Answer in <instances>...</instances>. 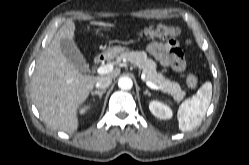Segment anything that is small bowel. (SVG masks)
Returning <instances> with one entry per match:
<instances>
[{"label":"small bowel","mask_w":249,"mask_h":165,"mask_svg":"<svg viewBox=\"0 0 249 165\" xmlns=\"http://www.w3.org/2000/svg\"><path fill=\"white\" fill-rule=\"evenodd\" d=\"M148 50L161 66L170 67L177 72L184 70L185 60L176 40L154 42L149 45Z\"/></svg>","instance_id":"obj_1"}]
</instances>
